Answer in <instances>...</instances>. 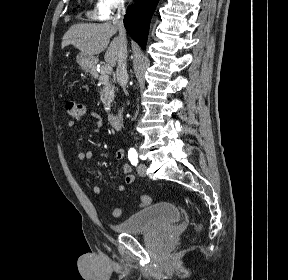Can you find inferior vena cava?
Segmentation results:
<instances>
[{
    "mask_svg": "<svg viewBox=\"0 0 288 280\" xmlns=\"http://www.w3.org/2000/svg\"><path fill=\"white\" fill-rule=\"evenodd\" d=\"M125 14L124 4L120 3L117 6V14L114 17L113 24L117 27L119 31V39L121 41V46L118 52V60H117V69L116 76L117 82L119 85L124 87L128 82V74L126 68L127 61V40H126V31L123 24V17Z\"/></svg>",
    "mask_w": 288,
    "mask_h": 280,
    "instance_id": "1",
    "label": "inferior vena cava"
}]
</instances>
